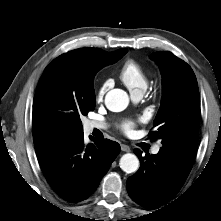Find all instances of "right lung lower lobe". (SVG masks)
<instances>
[{"label": "right lung lower lobe", "instance_id": "obj_1", "mask_svg": "<svg viewBox=\"0 0 221 221\" xmlns=\"http://www.w3.org/2000/svg\"><path fill=\"white\" fill-rule=\"evenodd\" d=\"M85 146L83 133L49 140L35 146L42 172L52 189L64 200L87 199L98 187L120 145L109 139L91 138Z\"/></svg>", "mask_w": 221, "mask_h": 221}]
</instances>
